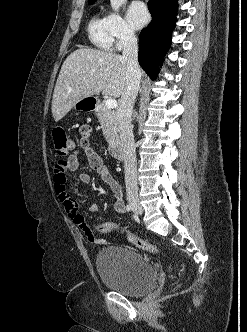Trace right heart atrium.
Wrapping results in <instances>:
<instances>
[{"instance_id":"obj_1","label":"right heart atrium","mask_w":247,"mask_h":332,"mask_svg":"<svg viewBox=\"0 0 247 332\" xmlns=\"http://www.w3.org/2000/svg\"><path fill=\"white\" fill-rule=\"evenodd\" d=\"M109 24L116 48H122L123 46L134 41L135 32L128 25L122 15L117 12L110 13Z\"/></svg>"}]
</instances>
